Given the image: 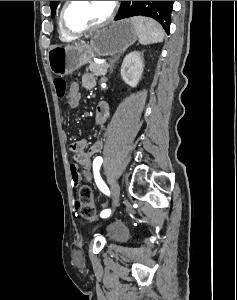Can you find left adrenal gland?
I'll list each match as a JSON object with an SVG mask.
<instances>
[{
    "instance_id": "left-adrenal-gland-1",
    "label": "left adrenal gland",
    "mask_w": 237,
    "mask_h": 300,
    "mask_svg": "<svg viewBox=\"0 0 237 300\" xmlns=\"http://www.w3.org/2000/svg\"><path fill=\"white\" fill-rule=\"evenodd\" d=\"M117 59H119V57H116V59H114V61H112V63H110V65H111L110 71H112V67H114V63H116Z\"/></svg>"
}]
</instances>
